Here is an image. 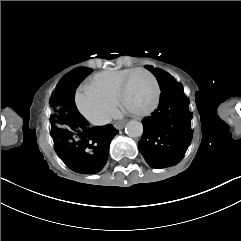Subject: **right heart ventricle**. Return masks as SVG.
I'll use <instances>...</instances> for the list:
<instances>
[{
    "label": "right heart ventricle",
    "instance_id": "right-heart-ventricle-1",
    "mask_svg": "<svg viewBox=\"0 0 241 241\" xmlns=\"http://www.w3.org/2000/svg\"><path fill=\"white\" fill-rule=\"evenodd\" d=\"M132 69L115 70L109 69L98 72L84 81L83 85L93 84L101 89L105 94L111 96L110 102L115 103L119 100V82L124 79L126 74Z\"/></svg>",
    "mask_w": 241,
    "mask_h": 241
}]
</instances>
